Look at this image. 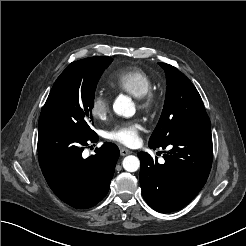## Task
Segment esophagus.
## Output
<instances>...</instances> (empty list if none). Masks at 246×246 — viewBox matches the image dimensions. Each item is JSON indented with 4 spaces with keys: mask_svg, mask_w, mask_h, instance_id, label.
Returning <instances> with one entry per match:
<instances>
[{
    "mask_svg": "<svg viewBox=\"0 0 246 246\" xmlns=\"http://www.w3.org/2000/svg\"><path fill=\"white\" fill-rule=\"evenodd\" d=\"M130 153H131V151L128 150V149H126V148H121V149H120V154H121V156H126V155H128V154H130Z\"/></svg>",
    "mask_w": 246,
    "mask_h": 246,
    "instance_id": "34e87169",
    "label": "esophagus"
}]
</instances>
